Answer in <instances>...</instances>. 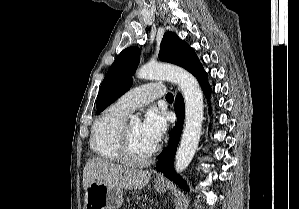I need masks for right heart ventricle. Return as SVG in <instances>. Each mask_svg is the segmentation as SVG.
Listing matches in <instances>:
<instances>
[{"label": "right heart ventricle", "mask_w": 299, "mask_h": 209, "mask_svg": "<svg viewBox=\"0 0 299 209\" xmlns=\"http://www.w3.org/2000/svg\"><path fill=\"white\" fill-rule=\"evenodd\" d=\"M126 115L113 104L94 122L90 147L99 158L110 162H123L120 153V132Z\"/></svg>", "instance_id": "e07e8e85"}]
</instances>
